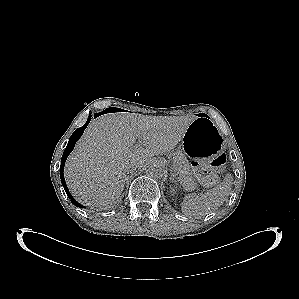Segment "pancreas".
I'll use <instances>...</instances> for the list:
<instances>
[{"instance_id": "obj_1", "label": "pancreas", "mask_w": 299, "mask_h": 299, "mask_svg": "<svg viewBox=\"0 0 299 299\" xmlns=\"http://www.w3.org/2000/svg\"><path fill=\"white\" fill-rule=\"evenodd\" d=\"M175 172L188 190L195 189L193 172L186 156L180 151L175 154Z\"/></svg>"}]
</instances>
